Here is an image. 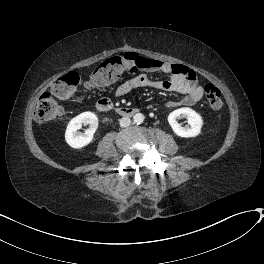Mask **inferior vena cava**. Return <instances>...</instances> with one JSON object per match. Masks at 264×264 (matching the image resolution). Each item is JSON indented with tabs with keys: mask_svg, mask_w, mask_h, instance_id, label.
<instances>
[{
	"mask_svg": "<svg viewBox=\"0 0 264 264\" xmlns=\"http://www.w3.org/2000/svg\"><path fill=\"white\" fill-rule=\"evenodd\" d=\"M119 124L121 127H128L131 124V120L128 117H123L119 120Z\"/></svg>",
	"mask_w": 264,
	"mask_h": 264,
	"instance_id": "obj_1",
	"label": "inferior vena cava"
}]
</instances>
